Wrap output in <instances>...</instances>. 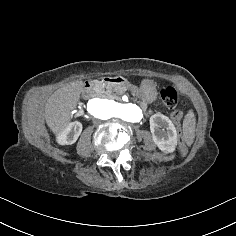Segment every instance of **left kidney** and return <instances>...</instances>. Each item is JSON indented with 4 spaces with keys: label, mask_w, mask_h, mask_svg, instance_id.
Returning <instances> with one entry per match:
<instances>
[{
    "label": "left kidney",
    "mask_w": 236,
    "mask_h": 236,
    "mask_svg": "<svg viewBox=\"0 0 236 236\" xmlns=\"http://www.w3.org/2000/svg\"><path fill=\"white\" fill-rule=\"evenodd\" d=\"M150 130L155 144L160 150L172 153L177 145V132L172 121L161 113L150 117Z\"/></svg>",
    "instance_id": "1"
}]
</instances>
